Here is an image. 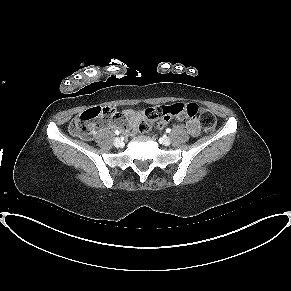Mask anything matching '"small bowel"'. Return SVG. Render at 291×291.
<instances>
[{
  "label": "small bowel",
  "instance_id": "obj_1",
  "mask_svg": "<svg viewBox=\"0 0 291 291\" xmlns=\"http://www.w3.org/2000/svg\"><path fill=\"white\" fill-rule=\"evenodd\" d=\"M146 109L142 111L125 110L120 117L111 120L108 124L111 128H119L124 131L138 132V126L142 120H146L148 112L151 110ZM179 120L185 122L186 129L191 136H198L200 133V123L195 117L178 116Z\"/></svg>",
  "mask_w": 291,
  "mask_h": 291
}]
</instances>
